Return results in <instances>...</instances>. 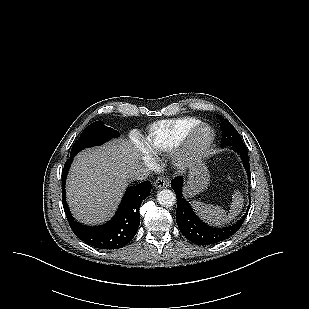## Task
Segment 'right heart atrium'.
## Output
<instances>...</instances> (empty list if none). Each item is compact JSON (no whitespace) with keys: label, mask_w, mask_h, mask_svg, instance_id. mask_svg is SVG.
I'll use <instances>...</instances> for the list:
<instances>
[{"label":"right heart atrium","mask_w":309,"mask_h":309,"mask_svg":"<svg viewBox=\"0 0 309 309\" xmlns=\"http://www.w3.org/2000/svg\"><path fill=\"white\" fill-rule=\"evenodd\" d=\"M144 162H145V164L148 168H153L154 162H153V159L150 156H145Z\"/></svg>","instance_id":"d8ad5b80"}]
</instances>
